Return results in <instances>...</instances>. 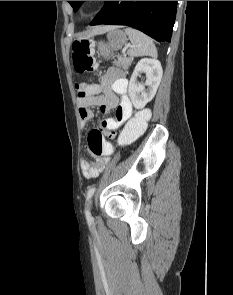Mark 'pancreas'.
<instances>
[{
  "instance_id": "cf45deb5",
  "label": "pancreas",
  "mask_w": 233,
  "mask_h": 295,
  "mask_svg": "<svg viewBox=\"0 0 233 295\" xmlns=\"http://www.w3.org/2000/svg\"><path fill=\"white\" fill-rule=\"evenodd\" d=\"M133 61L132 57H125L119 60L118 64L121 66L123 69L127 70L129 66L131 65Z\"/></svg>"
}]
</instances>
